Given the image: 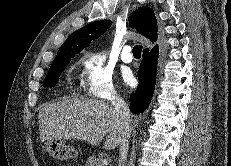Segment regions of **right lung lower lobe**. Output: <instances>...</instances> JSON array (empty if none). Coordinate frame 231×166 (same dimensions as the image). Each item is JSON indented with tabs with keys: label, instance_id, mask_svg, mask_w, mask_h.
Segmentation results:
<instances>
[{
	"label": "right lung lower lobe",
	"instance_id": "98d812e1",
	"mask_svg": "<svg viewBox=\"0 0 231 166\" xmlns=\"http://www.w3.org/2000/svg\"><path fill=\"white\" fill-rule=\"evenodd\" d=\"M158 45L151 51L143 52V60L139 67V84L135 92L130 95V110L133 114L145 111L151 102L156 83V70L158 59Z\"/></svg>",
	"mask_w": 231,
	"mask_h": 166
}]
</instances>
